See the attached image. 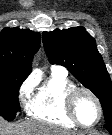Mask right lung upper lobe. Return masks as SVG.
I'll return each mask as SVG.
<instances>
[{
  "label": "right lung upper lobe",
  "mask_w": 112,
  "mask_h": 135,
  "mask_svg": "<svg viewBox=\"0 0 112 135\" xmlns=\"http://www.w3.org/2000/svg\"><path fill=\"white\" fill-rule=\"evenodd\" d=\"M40 34L29 29L4 28L0 33V76L31 72Z\"/></svg>",
  "instance_id": "right-lung-upper-lobe-1"
}]
</instances>
